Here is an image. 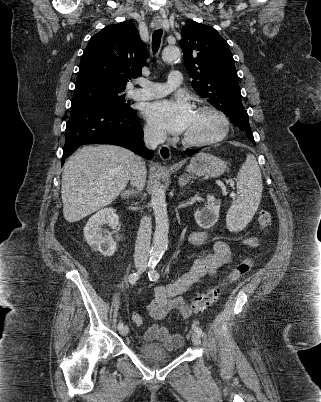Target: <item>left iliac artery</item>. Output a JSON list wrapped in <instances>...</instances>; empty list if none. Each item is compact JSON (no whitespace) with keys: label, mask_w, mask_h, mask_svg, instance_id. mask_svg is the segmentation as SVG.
<instances>
[{"label":"left iliac artery","mask_w":321,"mask_h":402,"mask_svg":"<svg viewBox=\"0 0 321 402\" xmlns=\"http://www.w3.org/2000/svg\"><path fill=\"white\" fill-rule=\"evenodd\" d=\"M155 267H156V265H152V266L150 267L149 272H148L149 279H150L151 281H156V280L159 279V273L156 271V268H155ZM192 328H193V330H194L196 333L199 334V336H202V337L204 336V332L202 331V329H201L199 326L193 324V325H192Z\"/></svg>","instance_id":"44dca946"}]
</instances>
